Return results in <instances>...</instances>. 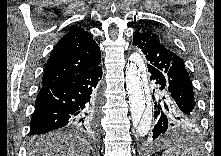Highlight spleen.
Instances as JSON below:
<instances>
[{"instance_id": "spleen-1", "label": "spleen", "mask_w": 221, "mask_h": 156, "mask_svg": "<svg viewBox=\"0 0 221 156\" xmlns=\"http://www.w3.org/2000/svg\"><path fill=\"white\" fill-rule=\"evenodd\" d=\"M163 156H199L198 152L189 146L176 144L172 148L164 151Z\"/></svg>"}]
</instances>
